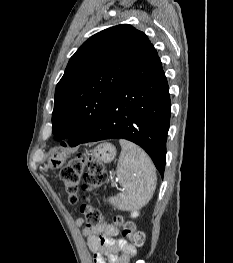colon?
I'll list each match as a JSON object with an SVG mask.
<instances>
[{
    "label": "colon",
    "instance_id": "1",
    "mask_svg": "<svg viewBox=\"0 0 233 263\" xmlns=\"http://www.w3.org/2000/svg\"><path fill=\"white\" fill-rule=\"evenodd\" d=\"M60 178L69 195L70 203L75 204L78 201L77 193L81 179H84L89 189H95L105 182L106 173L100 162L90 160L85 153H80L61 170ZM81 213L89 227H95L104 221L102 212L89 202L81 206ZM113 224L122 228L123 235L129 239L134 247H143L145 235L143 232L137 231L133 223L125 222L122 217L115 216Z\"/></svg>",
    "mask_w": 233,
    "mask_h": 263
}]
</instances>
